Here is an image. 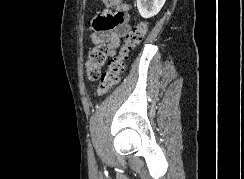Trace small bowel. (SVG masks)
Segmentation results:
<instances>
[{
    "label": "small bowel",
    "mask_w": 244,
    "mask_h": 179,
    "mask_svg": "<svg viewBox=\"0 0 244 179\" xmlns=\"http://www.w3.org/2000/svg\"><path fill=\"white\" fill-rule=\"evenodd\" d=\"M124 16L121 12L104 10L92 21L91 41L94 44L111 41L115 47L119 38L128 31V26L123 23Z\"/></svg>",
    "instance_id": "obj_1"
}]
</instances>
